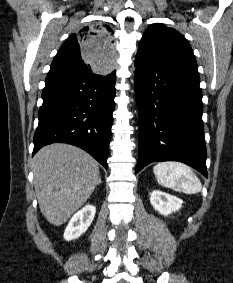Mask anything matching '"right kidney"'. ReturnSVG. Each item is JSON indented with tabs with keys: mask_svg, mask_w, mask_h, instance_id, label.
<instances>
[{
	"mask_svg": "<svg viewBox=\"0 0 233 283\" xmlns=\"http://www.w3.org/2000/svg\"><path fill=\"white\" fill-rule=\"evenodd\" d=\"M95 213L96 208L89 204L78 211L69 221L64 232V239L70 241L80 237L91 225Z\"/></svg>",
	"mask_w": 233,
	"mask_h": 283,
	"instance_id": "ca27d5eb",
	"label": "right kidney"
}]
</instances>
